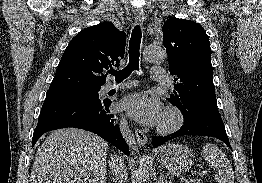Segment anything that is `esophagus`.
<instances>
[{
  "label": "esophagus",
  "mask_w": 262,
  "mask_h": 183,
  "mask_svg": "<svg viewBox=\"0 0 262 183\" xmlns=\"http://www.w3.org/2000/svg\"><path fill=\"white\" fill-rule=\"evenodd\" d=\"M134 19L137 23H143L144 21V13L142 11H136L134 12ZM135 135L137 142L140 146H144L147 143V136L144 132H142L140 129H135Z\"/></svg>",
  "instance_id": "obj_1"
}]
</instances>
